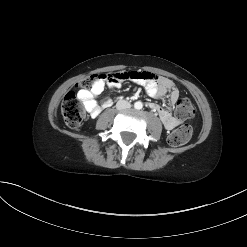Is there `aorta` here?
Listing matches in <instances>:
<instances>
[{"instance_id": "aorta-1", "label": "aorta", "mask_w": 247, "mask_h": 247, "mask_svg": "<svg viewBox=\"0 0 247 247\" xmlns=\"http://www.w3.org/2000/svg\"><path fill=\"white\" fill-rule=\"evenodd\" d=\"M134 107H135L136 109H141V108L143 107V104H142V102L137 101V102L134 104Z\"/></svg>"}]
</instances>
